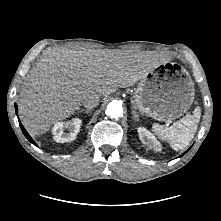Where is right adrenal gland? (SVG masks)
<instances>
[{"label": "right adrenal gland", "mask_w": 221, "mask_h": 221, "mask_svg": "<svg viewBox=\"0 0 221 221\" xmlns=\"http://www.w3.org/2000/svg\"><path fill=\"white\" fill-rule=\"evenodd\" d=\"M91 109H79L78 112H84L85 114L90 113Z\"/></svg>", "instance_id": "obj_1"}]
</instances>
